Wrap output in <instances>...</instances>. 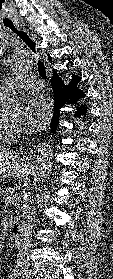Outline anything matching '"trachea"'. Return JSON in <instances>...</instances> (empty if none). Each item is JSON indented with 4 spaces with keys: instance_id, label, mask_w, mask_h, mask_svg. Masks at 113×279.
Listing matches in <instances>:
<instances>
[{
    "instance_id": "1",
    "label": "trachea",
    "mask_w": 113,
    "mask_h": 279,
    "mask_svg": "<svg viewBox=\"0 0 113 279\" xmlns=\"http://www.w3.org/2000/svg\"><path fill=\"white\" fill-rule=\"evenodd\" d=\"M7 27L10 28L14 33H16L26 43V45L35 54H37L35 42L29 37L27 33L17 30L13 25H7ZM38 72L43 79H47L45 67L43 62L40 60V57L38 59Z\"/></svg>"
}]
</instances>
